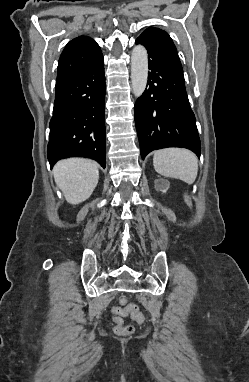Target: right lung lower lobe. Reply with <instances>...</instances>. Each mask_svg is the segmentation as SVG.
Here are the masks:
<instances>
[{
  "mask_svg": "<svg viewBox=\"0 0 249 382\" xmlns=\"http://www.w3.org/2000/svg\"><path fill=\"white\" fill-rule=\"evenodd\" d=\"M105 75L102 53L71 81L55 90L47 156L88 157L105 168Z\"/></svg>",
  "mask_w": 249,
  "mask_h": 382,
  "instance_id": "obj_1",
  "label": "right lung lower lobe"
}]
</instances>
